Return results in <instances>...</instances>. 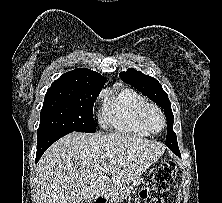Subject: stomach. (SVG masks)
<instances>
[{"label": "stomach", "mask_w": 222, "mask_h": 203, "mask_svg": "<svg viewBox=\"0 0 222 203\" xmlns=\"http://www.w3.org/2000/svg\"><path fill=\"white\" fill-rule=\"evenodd\" d=\"M142 179H137L133 182V184L131 186H129L128 188H125L123 190L120 191V195L118 196V198H123L126 197L130 194L131 190L133 189V187L138 186V184L141 182Z\"/></svg>", "instance_id": "0dacf381"}]
</instances>
